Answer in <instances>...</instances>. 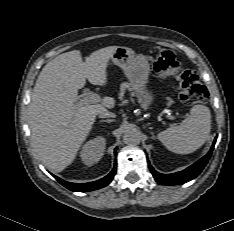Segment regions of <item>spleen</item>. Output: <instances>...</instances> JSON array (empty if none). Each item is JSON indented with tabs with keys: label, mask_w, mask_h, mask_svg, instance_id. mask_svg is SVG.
I'll use <instances>...</instances> for the list:
<instances>
[{
	"label": "spleen",
	"mask_w": 234,
	"mask_h": 231,
	"mask_svg": "<svg viewBox=\"0 0 234 231\" xmlns=\"http://www.w3.org/2000/svg\"><path fill=\"white\" fill-rule=\"evenodd\" d=\"M210 129V110L207 106L198 104L190 109L189 117L180 126L162 131L157 138L168 150L177 154H189L205 143Z\"/></svg>",
	"instance_id": "3e777b00"
}]
</instances>
